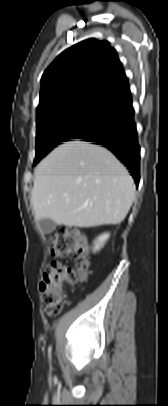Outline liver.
Here are the masks:
<instances>
[{
	"label": "liver",
	"instance_id": "6515ba94",
	"mask_svg": "<svg viewBox=\"0 0 168 406\" xmlns=\"http://www.w3.org/2000/svg\"><path fill=\"white\" fill-rule=\"evenodd\" d=\"M135 198L132 177L107 149L67 141L36 167L32 189L35 219L57 225L119 224Z\"/></svg>",
	"mask_w": 168,
	"mask_h": 406
}]
</instances>
